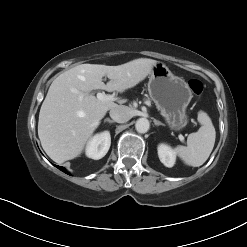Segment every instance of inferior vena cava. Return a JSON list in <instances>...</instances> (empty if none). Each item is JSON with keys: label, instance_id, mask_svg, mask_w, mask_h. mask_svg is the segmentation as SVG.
<instances>
[{"label": "inferior vena cava", "instance_id": "obj_1", "mask_svg": "<svg viewBox=\"0 0 247 247\" xmlns=\"http://www.w3.org/2000/svg\"><path fill=\"white\" fill-rule=\"evenodd\" d=\"M110 117L118 123H125L132 118V111L129 107L118 105L109 112Z\"/></svg>", "mask_w": 247, "mask_h": 247}]
</instances>
